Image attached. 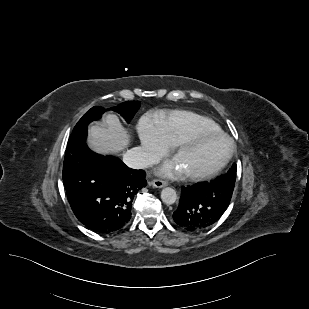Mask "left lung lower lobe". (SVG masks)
Wrapping results in <instances>:
<instances>
[{
  "label": "left lung lower lobe",
  "mask_w": 309,
  "mask_h": 309,
  "mask_svg": "<svg viewBox=\"0 0 309 309\" xmlns=\"http://www.w3.org/2000/svg\"><path fill=\"white\" fill-rule=\"evenodd\" d=\"M234 186L215 181L181 188V198L173 219L185 230L201 231L214 225L226 211Z\"/></svg>",
  "instance_id": "1"
}]
</instances>
